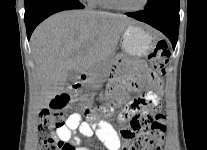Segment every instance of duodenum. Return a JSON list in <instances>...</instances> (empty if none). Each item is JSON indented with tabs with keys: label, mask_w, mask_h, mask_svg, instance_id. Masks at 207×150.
I'll list each match as a JSON object with an SVG mask.
<instances>
[{
	"label": "duodenum",
	"mask_w": 207,
	"mask_h": 150,
	"mask_svg": "<svg viewBox=\"0 0 207 150\" xmlns=\"http://www.w3.org/2000/svg\"><path fill=\"white\" fill-rule=\"evenodd\" d=\"M88 80V75L82 74L79 79L73 84L74 88H79L82 86L84 83H86Z\"/></svg>",
	"instance_id": "obj_1"
}]
</instances>
